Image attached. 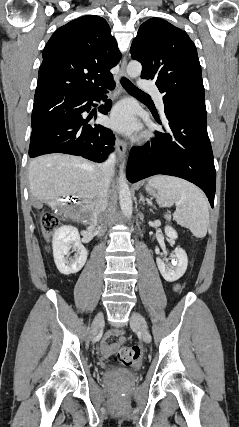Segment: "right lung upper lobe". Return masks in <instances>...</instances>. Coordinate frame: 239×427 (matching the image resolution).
<instances>
[{
  "label": "right lung upper lobe",
  "mask_w": 239,
  "mask_h": 427,
  "mask_svg": "<svg viewBox=\"0 0 239 427\" xmlns=\"http://www.w3.org/2000/svg\"><path fill=\"white\" fill-rule=\"evenodd\" d=\"M121 54L106 20L83 16L57 29L43 50L34 100L93 92L112 80Z\"/></svg>",
  "instance_id": "cb5924a9"
}]
</instances>
